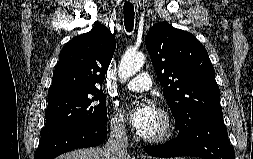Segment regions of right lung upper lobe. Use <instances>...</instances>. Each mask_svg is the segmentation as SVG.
<instances>
[{
  "label": "right lung upper lobe",
  "mask_w": 253,
  "mask_h": 159,
  "mask_svg": "<svg viewBox=\"0 0 253 159\" xmlns=\"http://www.w3.org/2000/svg\"><path fill=\"white\" fill-rule=\"evenodd\" d=\"M115 48L116 40L104 25L74 37L60 52L48 98L99 90Z\"/></svg>",
  "instance_id": "1"
}]
</instances>
